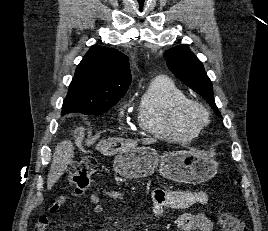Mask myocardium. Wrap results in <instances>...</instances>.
<instances>
[{
    "label": "myocardium",
    "instance_id": "obj_1",
    "mask_svg": "<svg viewBox=\"0 0 268 231\" xmlns=\"http://www.w3.org/2000/svg\"><path fill=\"white\" fill-rule=\"evenodd\" d=\"M180 118L187 128L200 130L209 121V111L199 100L189 99L182 105Z\"/></svg>",
    "mask_w": 268,
    "mask_h": 231
}]
</instances>
